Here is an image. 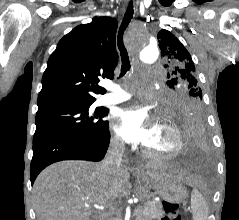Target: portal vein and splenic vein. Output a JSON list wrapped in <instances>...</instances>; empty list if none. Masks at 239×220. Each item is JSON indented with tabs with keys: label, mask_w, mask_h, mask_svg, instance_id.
<instances>
[{
	"label": "portal vein and splenic vein",
	"mask_w": 239,
	"mask_h": 220,
	"mask_svg": "<svg viewBox=\"0 0 239 220\" xmlns=\"http://www.w3.org/2000/svg\"><path fill=\"white\" fill-rule=\"evenodd\" d=\"M140 209H141V206L137 207L134 212L137 213V212L140 211ZM115 220H116V219H115Z\"/></svg>",
	"instance_id": "18ae733b"
}]
</instances>
